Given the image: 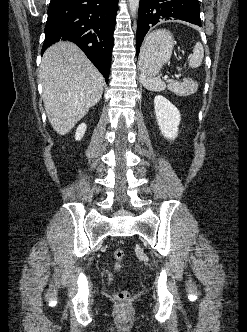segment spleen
I'll use <instances>...</instances> for the list:
<instances>
[{
  "label": "spleen",
  "instance_id": "3e777b00",
  "mask_svg": "<svg viewBox=\"0 0 247 332\" xmlns=\"http://www.w3.org/2000/svg\"><path fill=\"white\" fill-rule=\"evenodd\" d=\"M203 57L204 49L201 43L198 42L194 46L193 53L189 56V67L198 68L202 63ZM142 83L146 89L154 92H160L166 88L178 96H186L193 92V90L187 86L186 82L173 81L166 85V83L158 77L144 75L142 77Z\"/></svg>",
  "mask_w": 247,
  "mask_h": 332
}]
</instances>
